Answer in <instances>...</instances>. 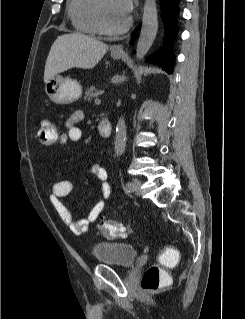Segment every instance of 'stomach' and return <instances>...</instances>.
Returning a JSON list of instances; mask_svg holds the SVG:
<instances>
[{
	"label": "stomach",
	"mask_w": 245,
	"mask_h": 319,
	"mask_svg": "<svg viewBox=\"0 0 245 319\" xmlns=\"http://www.w3.org/2000/svg\"><path fill=\"white\" fill-rule=\"evenodd\" d=\"M111 56L120 59L122 54L111 53ZM45 92L54 103L65 105L81 97L82 86L76 79L56 74L45 83Z\"/></svg>",
	"instance_id": "0dacf381"
}]
</instances>
